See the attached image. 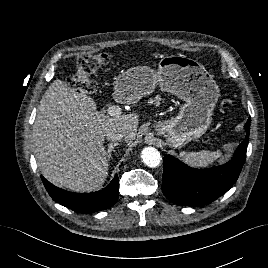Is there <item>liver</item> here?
<instances>
[{
    "label": "liver",
    "mask_w": 268,
    "mask_h": 268,
    "mask_svg": "<svg viewBox=\"0 0 268 268\" xmlns=\"http://www.w3.org/2000/svg\"><path fill=\"white\" fill-rule=\"evenodd\" d=\"M95 101L56 79L44 93L33 126L34 154L43 176L73 191L101 187L108 176L104 134L108 128L135 139L138 114L109 117Z\"/></svg>",
    "instance_id": "6515ba94"
}]
</instances>
